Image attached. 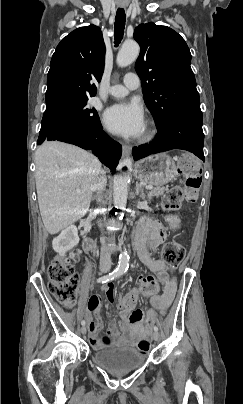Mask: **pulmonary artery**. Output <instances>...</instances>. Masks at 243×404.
<instances>
[{"instance_id": "1", "label": "pulmonary artery", "mask_w": 243, "mask_h": 404, "mask_svg": "<svg viewBox=\"0 0 243 404\" xmlns=\"http://www.w3.org/2000/svg\"><path fill=\"white\" fill-rule=\"evenodd\" d=\"M118 59L120 63L127 62L121 52L118 54ZM139 86L140 78L137 74L130 72L124 75L122 83L110 87L109 94L114 97H122L125 96L129 90L137 89Z\"/></svg>"}]
</instances>
